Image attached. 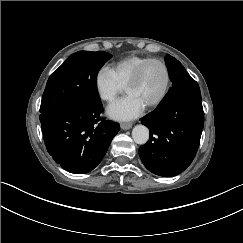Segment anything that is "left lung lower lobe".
<instances>
[{"label":"left lung lower lobe","mask_w":243,"mask_h":243,"mask_svg":"<svg viewBox=\"0 0 243 243\" xmlns=\"http://www.w3.org/2000/svg\"><path fill=\"white\" fill-rule=\"evenodd\" d=\"M148 127V142L139 148L140 158L152 173L172 177L193 161L200 143L204 112L200 91H179L140 119Z\"/></svg>","instance_id":"obj_1"}]
</instances>
